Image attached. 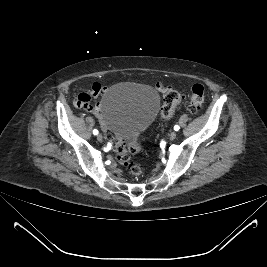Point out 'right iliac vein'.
<instances>
[{
    "label": "right iliac vein",
    "instance_id": "right-iliac-vein-1",
    "mask_svg": "<svg viewBox=\"0 0 267 267\" xmlns=\"http://www.w3.org/2000/svg\"><path fill=\"white\" fill-rule=\"evenodd\" d=\"M97 140H98L99 142H102V141H103V136H102V134H98V135H97Z\"/></svg>",
    "mask_w": 267,
    "mask_h": 267
}]
</instances>
